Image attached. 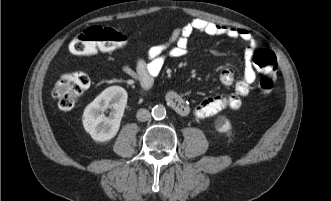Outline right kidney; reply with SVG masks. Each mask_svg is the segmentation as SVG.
Instances as JSON below:
<instances>
[{
  "instance_id": "ca27d5eb",
  "label": "right kidney",
  "mask_w": 331,
  "mask_h": 201,
  "mask_svg": "<svg viewBox=\"0 0 331 201\" xmlns=\"http://www.w3.org/2000/svg\"><path fill=\"white\" fill-rule=\"evenodd\" d=\"M127 92L111 86L99 94L84 110L83 126L96 142H108L117 134L127 104ZM110 109L108 116L104 114Z\"/></svg>"
}]
</instances>
